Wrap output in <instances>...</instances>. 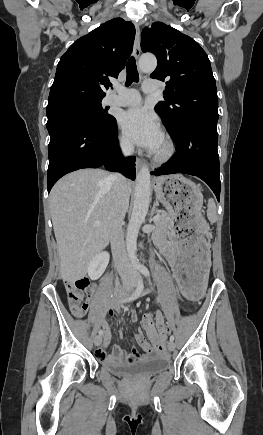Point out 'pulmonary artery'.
Instances as JSON below:
<instances>
[{"label":"pulmonary artery","instance_id":"e3ab8cb5","mask_svg":"<svg viewBox=\"0 0 263 435\" xmlns=\"http://www.w3.org/2000/svg\"><path fill=\"white\" fill-rule=\"evenodd\" d=\"M158 84L154 80H148L143 83L142 90L150 94L156 92ZM141 96L135 89H126L120 86L116 87V93L109 95L105 102L114 106H137L141 104Z\"/></svg>","mask_w":263,"mask_h":435}]
</instances>
